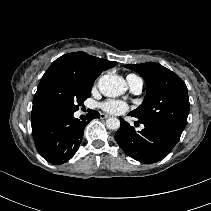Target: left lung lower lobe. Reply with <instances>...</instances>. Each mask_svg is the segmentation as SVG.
<instances>
[{"label": "left lung lower lobe", "instance_id": "obj_1", "mask_svg": "<svg viewBox=\"0 0 211 211\" xmlns=\"http://www.w3.org/2000/svg\"><path fill=\"white\" fill-rule=\"evenodd\" d=\"M120 120L115 139L128 156L141 163L151 164L165 158L181 136L164 126L142 122L144 129L136 133L129 123L122 118Z\"/></svg>", "mask_w": 211, "mask_h": 211}]
</instances>
